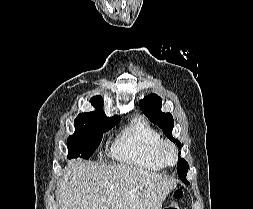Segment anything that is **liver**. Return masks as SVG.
<instances>
[{"instance_id":"liver-1","label":"liver","mask_w":253,"mask_h":209,"mask_svg":"<svg viewBox=\"0 0 253 209\" xmlns=\"http://www.w3.org/2000/svg\"><path fill=\"white\" fill-rule=\"evenodd\" d=\"M175 179L128 164L72 160L56 190L59 209H162Z\"/></svg>"}]
</instances>
